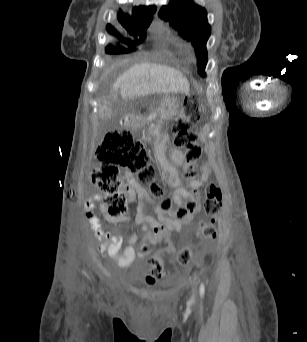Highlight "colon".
Instances as JSON below:
<instances>
[{
  "mask_svg": "<svg viewBox=\"0 0 307 342\" xmlns=\"http://www.w3.org/2000/svg\"><path fill=\"white\" fill-rule=\"evenodd\" d=\"M200 118L199 104L194 99H188L183 105V113L173 121L171 131L174 136V145L184 153V160L187 166L186 177L195 179L200 175L197 161L200 159L202 150L196 143V136L193 126ZM97 158L100 165L91 173L92 183L101 191L100 200L101 213L108 219L123 220L127 215V199L121 188L120 170H126L137 174L143 182H150L152 178V167L150 165L149 154L144 148L142 141L134 137L126 130H114L109 132L101 142ZM150 192L155 196H160L163 187L157 182H150ZM199 199L200 193H193ZM205 199L203 200V211L207 219L200 220L197 225L198 235L201 237L215 239L216 219L221 209L222 192L218 185L210 183L204 189ZM162 211L172 210L170 199L162 198L159 202ZM196 212L195 202H188L185 206L176 209L175 214L178 220L187 222ZM153 232H147L148 236L143 239L149 242H165L159 245V254H173L175 249V239H170V232L162 226H154ZM147 255L150 244L141 243ZM192 252L189 245L182 248L177 261L181 265L192 264ZM153 266L150 275L145 277V283L154 285L164 276V267L158 255H151L148 259Z\"/></svg>",
  "mask_w": 307,
  "mask_h": 342,
  "instance_id": "colon-1",
  "label": "colon"
}]
</instances>
